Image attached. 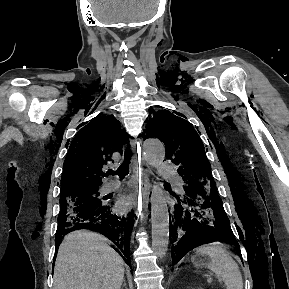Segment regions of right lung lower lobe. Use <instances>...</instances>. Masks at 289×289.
Wrapping results in <instances>:
<instances>
[{
  "mask_svg": "<svg viewBox=\"0 0 289 289\" xmlns=\"http://www.w3.org/2000/svg\"><path fill=\"white\" fill-rule=\"evenodd\" d=\"M131 217L128 220L118 217L112 211L111 204L106 203H102L90 211L77 213L65 222L59 223L55 236L56 250L66 234L78 229H89L109 238L116 245L115 250L131 267L129 244L133 228Z\"/></svg>",
  "mask_w": 289,
  "mask_h": 289,
  "instance_id": "1",
  "label": "right lung lower lobe"
}]
</instances>
